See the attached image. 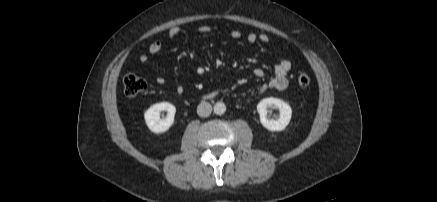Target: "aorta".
Returning a JSON list of instances; mask_svg holds the SVG:
<instances>
[{
    "label": "aorta",
    "instance_id": "obj_1",
    "mask_svg": "<svg viewBox=\"0 0 437 202\" xmlns=\"http://www.w3.org/2000/svg\"><path fill=\"white\" fill-rule=\"evenodd\" d=\"M226 111V105L223 102H217L214 105V113L217 115H222Z\"/></svg>",
    "mask_w": 437,
    "mask_h": 202
}]
</instances>
